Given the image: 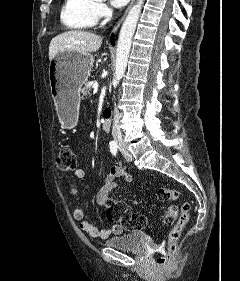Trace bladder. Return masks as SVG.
<instances>
[{
  "label": "bladder",
  "mask_w": 240,
  "mask_h": 281,
  "mask_svg": "<svg viewBox=\"0 0 240 281\" xmlns=\"http://www.w3.org/2000/svg\"><path fill=\"white\" fill-rule=\"evenodd\" d=\"M146 235L142 232H131L116 235L105 242V245L122 251L140 252L143 249Z\"/></svg>",
  "instance_id": "obj_1"
}]
</instances>
